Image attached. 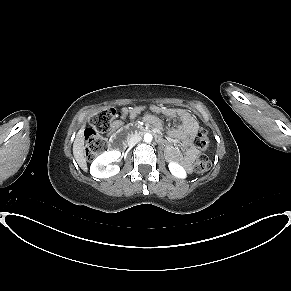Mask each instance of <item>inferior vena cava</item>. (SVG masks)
I'll use <instances>...</instances> for the list:
<instances>
[{
  "label": "inferior vena cava",
  "mask_w": 291,
  "mask_h": 291,
  "mask_svg": "<svg viewBox=\"0 0 291 291\" xmlns=\"http://www.w3.org/2000/svg\"><path fill=\"white\" fill-rule=\"evenodd\" d=\"M141 140V137L139 135H132L128 141L129 146H134L136 143H138Z\"/></svg>",
  "instance_id": "inferior-vena-cava-1"
}]
</instances>
